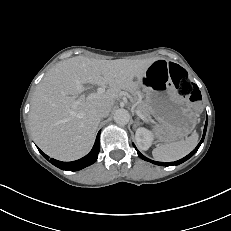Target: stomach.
Wrapping results in <instances>:
<instances>
[{
  "label": "stomach",
  "mask_w": 231,
  "mask_h": 231,
  "mask_svg": "<svg viewBox=\"0 0 231 231\" xmlns=\"http://www.w3.org/2000/svg\"><path fill=\"white\" fill-rule=\"evenodd\" d=\"M141 89L156 120L159 141L175 142L192 132L198 120L197 105L178 93L166 61L158 59L146 69Z\"/></svg>",
  "instance_id": "1"
}]
</instances>
